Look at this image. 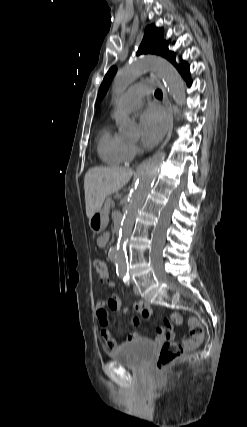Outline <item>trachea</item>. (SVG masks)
Returning <instances> with one entry per match:
<instances>
[{"instance_id":"obj_1","label":"trachea","mask_w":247,"mask_h":427,"mask_svg":"<svg viewBox=\"0 0 247 427\" xmlns=\"http://www.w3.org/2000/svg\"><path fill=\"white\" fill-rule=\"evenodd\" d=\"M155 96L156 97H162V91L161 90H156L155 91Z\"/></svg>"}]
</instances>
